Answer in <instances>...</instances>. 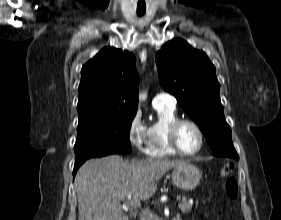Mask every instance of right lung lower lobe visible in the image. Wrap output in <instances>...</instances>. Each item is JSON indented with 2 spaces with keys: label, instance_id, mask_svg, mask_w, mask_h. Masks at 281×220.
I'll return each mask as SVG.
<instances>
[{
  "label": "right lung lower lobe",
  "instance_id": "right-lung-lower-lobe-1",
  "mask_svg": "<svg viewBox=\"0 0 281 220\" xmlns=\"http://www.w3.org/2000/svg\"><path fill=\"white\" fill-rule=\"evenodd\" d=\"M86 160H83V161H79V162H75V165H74V170H73V176H75L78 168L85 162Z\"/></svg>",
  "mask_w": 281,
  "mask_h": 220
}]
</instances>
